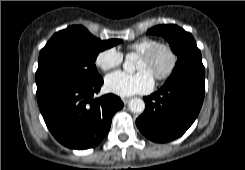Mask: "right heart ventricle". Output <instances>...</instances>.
Returning a JSON list of instances; mask_svg holds the SVG:
<instances>
[{
	"label": "right heart ventricle",
	"mask_w": 245,
	"mask_h": 170,
	"mask_svg": "<svg viewBox=\"0 0 245 170\" xmlns=\"http://www.w3.org/2000/svg\"><path fill=\"white\" fill-rule=\"evenodd\" d=\"M158 43V40L154 38H142L137 41H134L130 43L127 46L128 53H135L140 54L148 49H150L152 46Z\"/></svg>",
	"instance_id": "obj_1"
}]
</instances>
